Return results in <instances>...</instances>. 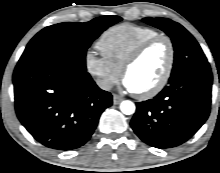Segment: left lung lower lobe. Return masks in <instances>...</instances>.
I'll return each mask as SVG.
<instances>
[{
    "label": "left lung lower lobe",
    "mask_w": 220,
    "mask_h": 173,
    "mask_svg": "<svg viewBox=\"0 0 220 173\" xmlns=\"http://www.w3.org/2000/svg\"><path fill=\"white\" fill-rule=\"evenodd\" d=\"M211 71L185 74L153 99L137 102L131 127L150 146L181 145L205 123L211 105Z\"/></svg>",
    "instance_id": "left-lung-lower-lobe-1"
}]
</instances>
